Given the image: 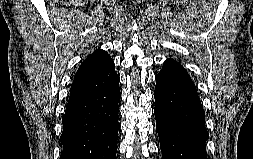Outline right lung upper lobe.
I'll return each instance as SVG.
<instances>
[{"label": "right lung upper lobe", "mask_w": 253, "mask_h": 159, "mask_svg": "<svg viewBox=\"0 0 253 159\" xmlns=\"http://www.w3.org/2000/svg\"><path fill=\"white\" fill-rule=\"evenodd\" d=\"M113 63L110 55L101 49L90 54L77 70L73 84L99 73Z\"/></svg>", "instance_id": "right-lung-upper-lobe-1"}]
</instances>
